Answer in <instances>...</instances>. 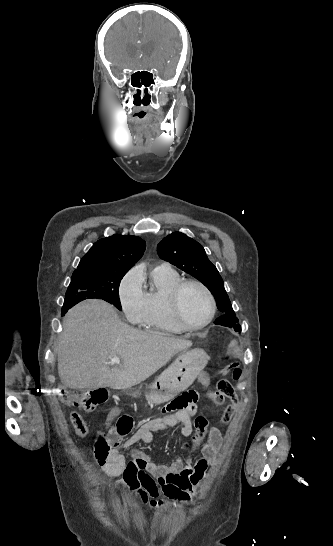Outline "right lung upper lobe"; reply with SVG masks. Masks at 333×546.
<instances>
[{"instance_id":"1","label":"right lung upper lobe","mask_w":333,"mask_h":546,"mask_svg":"<svg viewBox=\"0 0 333 546\" xmlns=\"http://www.w3.org/2000/svg\"><path fill=\"white\" fill-rule=\"evenodd\" d=\"M145 248V241L137 236L115 234L100 239L84 255L73 275L97 266L129 270L142 257Z\"/></svg>"}]
</instances>
